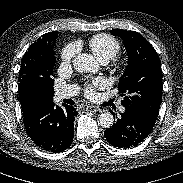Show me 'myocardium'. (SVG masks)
I'll return each instance as SVG.
<instances>
[{
  "mask_svg": "<svg viewBox=\"0 0 183 183\" xmlns=\"http://www.w3.org/2000/svg\"><path fill=\"white\" fill-rule=\"evenodd\" d=\"M128 62L123 57H116L113 61V69L115 72L123 73L127 69Z\"/></svg>",
  "mask_w": 183,
  "mask_h": 183,
  "instance_id": "1",
  "label": "myocardium"
}]
</instances>
